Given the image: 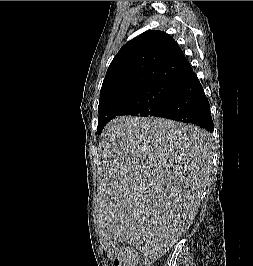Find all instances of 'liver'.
Listing matches in <instances>:
<instances>
[{
    "label": "liver",
    "mask_w": 253,
    "mask_h": 266,
    "mask_svg": "<svg viewBox=\"0 0 253 266\" xmlns=\"http://www.w3.org/2000/svg\"><path fill=\"white\" fill-rule=\"evenodd\" d=\"M99 228L142 254H165L191 226L207 185L211 137L163 118L120 116L101 134Z\"/></svg>",
    "instance_id": "6515ba94"
}]
</instances>
